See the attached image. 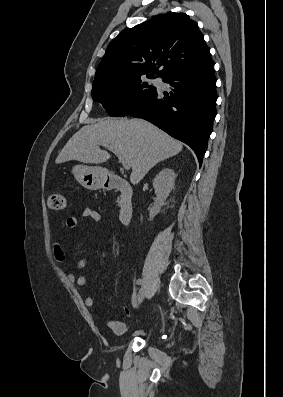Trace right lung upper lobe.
I'll return each mask as SVG.
<instances>
[{"mask_svg": "<svg viewBox=\"0 0 283 397\" xmlns=\"http://www.w3.org/2000/svg\"><path fill=\"white\" fill-rule=\"evenodd\" d=\"M211 59L198 24L185 13L168 12L125 29L109 44L94 82L161 77Z\"/></svg>", "mask_w": 283, "mask_h": 397, "instance_id": "obj_1", "label": "right lung upper lobe"}]
</instances>
